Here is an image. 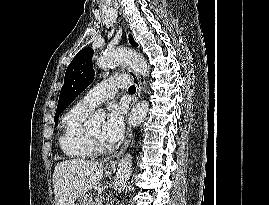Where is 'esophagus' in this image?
<instances>
[{
	"instance_id": "esophagus-1",
	"label": "esophagus",
	"mask_w": 269,
	"mask_h": 205,
	"mask_svg": "<svg viewBox=\"0 0 269 205\" xmlns=\"http://www.w3.org/2000/svg\"><path fill=\"white\" fill-rule=\"evenodd\" d=\"M127 74L130 76V78L132 79L133 83L135 84L136 87V92L133 96V100H132V106L139 100L141 93H142V83H141V79L140 76L135 73L134 71L130 70V69H126ZM131 137H132V128L131 126L128 124L127 126V131H126V139L125 142L121 148V150L117 153L116 157H119L122 153H124V151L127 149V147L130 144L131 141ZM116 163L114 161H110L109 165H115Z\"/></svg>"
}]
</instances>
